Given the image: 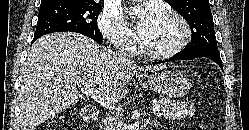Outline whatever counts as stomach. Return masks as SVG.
I'll return each mask as SVG.
<instances>
[{
    "instance_id": "obj_1",
    "label": "stomach",
    "mask_w": 249,
    "mask_h": 130,
    "mask_svg": "<svg viewBox=\"0 0 249 130\" xmlns=\"http://www.w3.org/2000/svg\"><path fill=\"white\" fill-rule=\"evenodd\" d=\"M140 82L144 87L172 98L184 96L191 88L189 79L176 71L157 72L142 77Z\"/></svg>"
}]
</instances>
